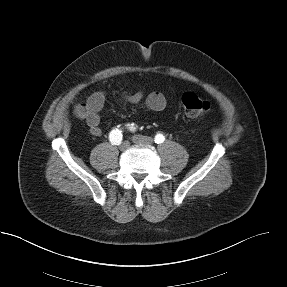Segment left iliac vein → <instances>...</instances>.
I'll return each instance as SVG.
<instances>
[{
    "label": "left iliac vein",
    "instance_id": "left-iliac-vein-1",
    "mask_svg": "<svg viewBox=\"0 0 287 287\" xmlns=\"http://www.w3.org/2000/svg\"><path fill=\"white\" fill-rule=\"evenodd\" d=\"M132 141L135 144H140V145H150L153 143V139L151 137H147L143 135H134L132 137Z\"/></svg>",
    "mask_w": 287,
    "mask_h": 287
}]
</instances>
